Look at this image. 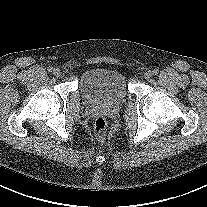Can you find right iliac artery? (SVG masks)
<instances>
[{"label":"right iliac artery","mask_w":207,"mask_h":207,"mask_svg":"<svg viewBox=\"0 0 207 207\" xmlns=\"http://www.w3.org/2000/svg\"><path fill=\"white\" fill-rule=\"evenodd\" d=\"M52 70H53V67H52V66H49V67H48V71H49V72H52Z\"/></svg>","instance_id":"82829eb1"}]
</instances>
